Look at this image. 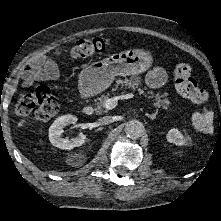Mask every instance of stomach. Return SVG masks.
<instances>
[{
  "label": "stomach",
  "instance_id": "stomach-1",
  "mask_svg": "<svg viewBox=\"0 0 221 221\" xmlns=\"http://www.w3.org/2000/svg\"><path fill=\"white\" fill-rule=\"evenodd\" d=\"M151 54L142 49H130L115 53L103 60L87 65L79 74V89L86 96L106 90L115 76L138 75L152 65Z\"/></svg>",
  "mask_w": 221,
  "mask_h": 221
}]
</instances>
